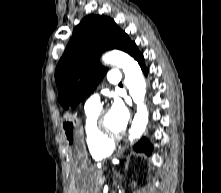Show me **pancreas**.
<instances>
[{
    "label": "pancreas",
    "mask_w": 221,
    "mask_h": 193,
    "mask_svg": "<svg viewBox=\"0 0 221 193\" xmlns=\"http://www.w3.org/2000/svg\"><path fill=\"white\" fill-rule=\"evenodd\" d=\"M103 177V171L98 170L95 175V185H96V191H99L101 188L100 179Z\"/></svg>",
    "instance_id": "pancreas-1"
}]
</instances>
